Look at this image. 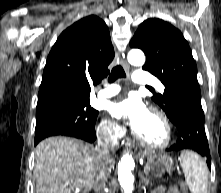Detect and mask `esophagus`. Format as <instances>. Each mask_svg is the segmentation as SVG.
<instances>
[{
    "mask_svg": "<svg viewBox=\"0 0 221 193\" xmlns=\"http://www.w3.org/2000/svg\"><path fill=\"white\" fill-rule=\"evenodd\" d=\"M121 65L126 69L129 70L130 66L125 59H121Z\"/></svg>",
    "mask_w": 221,
    "mask_h": 193,
    "instance_id": "34e87169",
    "label": "esophagus"
}]
</instances>
